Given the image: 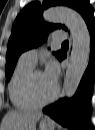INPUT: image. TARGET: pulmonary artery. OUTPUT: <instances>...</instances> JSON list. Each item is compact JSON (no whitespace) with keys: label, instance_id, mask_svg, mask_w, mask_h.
Segmentation results:
<instances>
[{"label":"pulmonary artery","instance_id":"obj_1","mask_svg":"<svg viewBox=\"0 0 95 130\" xmlns=\"http://www.w3.org/2000/svg\"><path fill=\"white\" fill-rule=\"evenodd\" d=\"M65 38V34L63 31H55L51 33L50 39L54 43H58L63 41ZM37 56H38V49L37 48H32L30 50L25 51L20 59L24 62L30 63L32 65H35L37 62Z\"/></svg>","mask_w":95,"mask_h":130}]
</instances>
